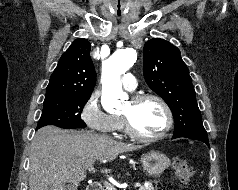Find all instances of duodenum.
Wrapping results in <instances>:
<instances>
[{
	"instance_id": "duodenum-1",
	"label": "duodenum",
	"mask_w": 238,
	"mask_h": 190,
	"mask_svg": "<svg viewBox=\"0 0 238 190\" xmlns=\"http://www.w3.org/2000/svg\"><path fill=\"white\" fill-rule=\"evenodd\" d=\"M87 190H102V186L99 183H92L88 186Z\"/></svg>"
}]
</instances>
